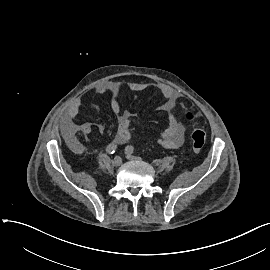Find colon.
I'll return each mask as SVG.
<instances>
[{"label": "colon", "instance_id": "obj_1", "mask_svg": "<svg viewBox=\"0 0 270 270\" xmlns=\"http://www.w3.org/2000/svg\"><path fill=\"white\" fill-rule=\"evenodd\" d=\"M184 119L195 125L191 134L192 149L196 152L201 151L206 143V134L202 127H200V121L196 113L191 109H186L183 111Z\"/></svg>", "mask_w": 270, "mask_h": 270}]
</instances>
